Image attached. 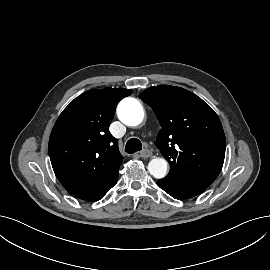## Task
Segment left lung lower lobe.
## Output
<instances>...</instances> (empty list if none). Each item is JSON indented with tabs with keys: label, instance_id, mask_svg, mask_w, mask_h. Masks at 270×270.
Listing matches in <instances>:
<instances>
[{
	"label": "left lung lower lobe",
	"instance_id": "1",
	"mask_svg": "<svg viewBox=\"0 0 270 270\" xmlns=\"http://www.w3.org/2000/svg\"><path fill=\"white\" fill-rule=\"evenodd\" d=\"M160 188L175 199H188L202 193L211 183L201 178H163L157 181Z\"/></svg>",
	"mask_w": 270,
	"mask_h": 270
}]
</instances>
